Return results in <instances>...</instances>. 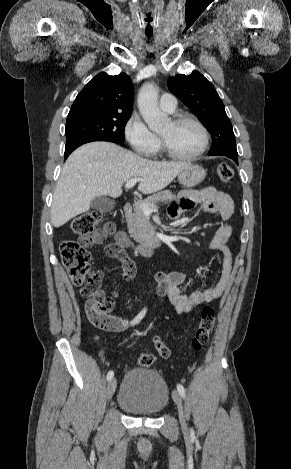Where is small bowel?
I'll return each instance as SVG.
<instances>
[{
	"label": "small bowel",
	"instance_id": "c3829d8e",
	"mask_svg": "<svg viewBox=\"0 0 291 469\" xmlns=\"http://www.w3.org/2000/svg\"><path fill=\"white\" fill-rule=\"evenodd\" d=\"M196 204H200L207 213L219 215L222 221L221 225L211 237L208 245L210 249L220 250L223 253V269L221 277L215 284L204 290L194 291L191 294L182 292V287L186 280L185 273L177 270L157 272L155 275L157 294L159 296H166L178 313H188L219 298L231 279L232 254L228 246V240L232 234V227L229 223L234 211L232 199L226 193L215 187L184 191L181 193L178 202L170 206L169 215L177 219ZM109 236H115V244L121 248L123 257L128 258L123 250L126 246L125 234L123 232H117L115 225L112 223L104 225L93 244H103ZM109 256L118 258L122 262L123 257L121 256ZM115 296L116 293L112 296L113 300ZM112 321L113 325L109 331L113 332L124 331L132 322V320L130 321L128 318L115 316L112 317Z\"/></svg>",
	"mask_w": 291,
	"mask_h": 469
}]
</instances>
